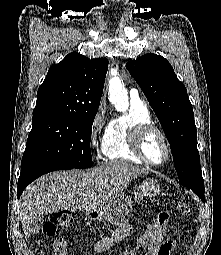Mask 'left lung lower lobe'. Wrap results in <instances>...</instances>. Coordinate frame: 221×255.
Segmentation results:
<instances>
[{"instance_id":"0a47b994","label":"left lung lower lobe","mask_w":221,"mask_h":255,"mask_svg":"<svg viewBox=\"0 0 221 255\" xmlns=\"http://www.w3.org/2000/svg\"><path fill=\"white\" fill-rule=\"evenodd\" d=\"M189 189H191L194 193H196L201 200L204 202L205 201V196H204V192H205V188L203 187H188Z\"/></svg>"}]
</instances>
